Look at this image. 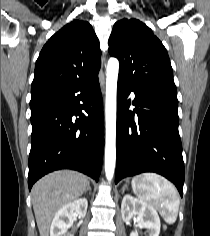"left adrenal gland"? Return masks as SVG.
<instances>
[{"label":"left adrenal gland","instance_id":"1","mask_svg":"<svg viewBox=\"0 0 210 236\" xmlns=\"http://www.w3.org/2000/svg\"><path fill=\"white\" fill-rule=\"evenodd\" d=\"M127 186H123L122 187V194L124 193V191L126 190Z\"/></svg>","mask_w":210,"mask_h":236}]
</instances>
